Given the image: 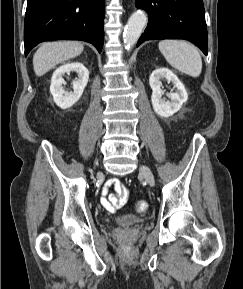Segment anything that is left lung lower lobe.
Instances as JSON below:
<instances>
[{
    "label": "left lung lower lobe",
    "instance_id": "0a47b994",
    "mask_svg": "<svg viewBox=\"0 0 243 289\" xmlns=\"http://www.w3.org/2000/svg\"><path fill=\"white\" fill-rule=\"evenodd\" d=\"M136 6L149 16L137 46L145 40L185 39L208 54L203 0H136Z\"/></svg>",
    "mask_w": 243,
    "mask_h": 289
}]
</instances>
